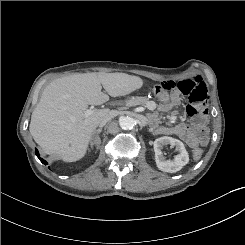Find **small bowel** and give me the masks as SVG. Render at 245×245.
<instances>
[{"label":"small bowel","instance_id":"c3829d8e","mask_svg":"<svg viewBox=\"0 0 245 245\" xmlns=\"http://www.w3.org/2000/svg\"><path fill=\"white\" fill-rule=\"evenodd\" d=\"M163 89L172 91V102L163 104L160 109L168 111L174 104H180L181 96L186 95L191 104L185 109V115L192 117L190 124L179 123L174 126H158V118L152 117V125L157 134L175 135L190 147L205 145L209 141L207 123L209 119L205 101L207 89L201 77L186 78L177 83L175 80L164 82Z\"/></svg>","mask_w":245,"mask_h":245}]
</instances>
